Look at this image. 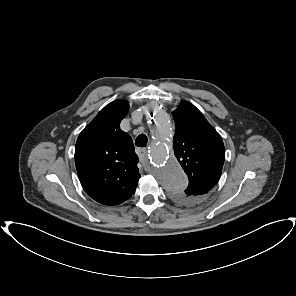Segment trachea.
I'll return each mask as SVG.
<instances>
[{"label":"trachea","instance_id":"trachea-1","mask_svg":"<svg viewBox=\"0 0 296 296\" xmlns=\"http://www.w3.org/2000/svg\"><path fill=\"white\" fill-rule=\"evenodd\" d=\"M148 142V138L145 134H140L136 140H135V145L137 147H146Z\"/></svg>","mask_w":296,"mask_h":296}]
</instances>
